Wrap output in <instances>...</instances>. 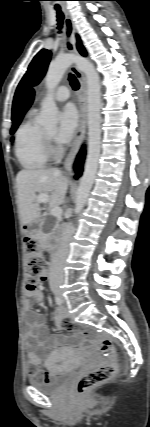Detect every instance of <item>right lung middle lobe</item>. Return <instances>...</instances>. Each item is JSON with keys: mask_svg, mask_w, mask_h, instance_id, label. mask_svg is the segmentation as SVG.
<instances>
[{"mask_svg": "<svg viewBox=\"0 0 150 427\" xmlns=\"http://www.w3.org/2000/svg\"><path fill=\"white\" fill-rule=\"evenodd\" d=\"M19 123L13 125L12 129H11V134H13L15 132V130L17 129Z\"/></svg>", "mask_w": 150, "mask_h": 427, "instance_id": "obj_1", "label": "right lung middle lobe"}]
</instances>
